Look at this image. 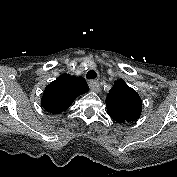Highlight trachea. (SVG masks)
Returning <instances> with one entry per match:
<instances>
[{"label":"trachea","instance_id":"obj_1","mask_svg":"<svg viewBox=\"0 0 177 177\" xmlns=\"http://www.w3.org/2000/svg\"><path fill=\"white\" fill-rule=\"evenodd\" d=\"M96 76H97L96 72L93 71V70H90V71H88V73H87V75H86V78H87V79H95Z\"/></svg>","mask_w":177,"mask_h":177}]
</instances>
